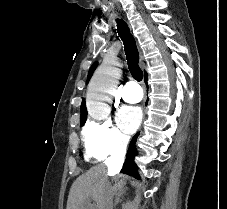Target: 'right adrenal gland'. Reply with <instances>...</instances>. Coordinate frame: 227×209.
<instances>
[{"label":"right adrenal gland","instance_id":"right-adrenal-gland-1","mask_svg":"<svg viewBox=\"0 0 227 209\" xmlns=\"http://www.w3.org/2000/svg\"><path fill=\"white\" fill-rule=\"evenodd\" d=\"M119 197H121V195H118L117 199H115V205H118V203L122 201V199H119Z\"/></svg>","mask_w":227,"mask_h":209}]
</instances>
